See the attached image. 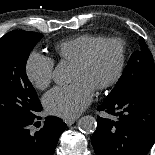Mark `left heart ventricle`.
Listing matches in <instances>:
<instances>
[{"instance_id": "1", "label": "left heart ventricle", "mask_w": 155, "mask_h": 155, "mask_svg": "<svg viewBox=\"0 0 155 155\" xmlns=\"http://www.w3.org/2000/svg\"><path fill=\"white\" fill-rule=\"evenodd\" d=\"M118 61V47L115 44L103 45L86 67L73 66L71 81H83L92 89H95L112 77Z\"/></svg>"}]
</instances>
